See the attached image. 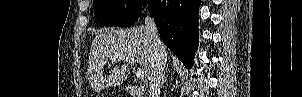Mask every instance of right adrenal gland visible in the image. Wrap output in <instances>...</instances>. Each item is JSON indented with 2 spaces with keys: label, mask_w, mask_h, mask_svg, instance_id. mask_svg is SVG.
<instances>
[{
  "label": "right adrenal gland",
  "mask_w": 302,
  "mask_h": 97,
  "mask_svg": "<svg viewBox=\"0 0 302 97\" xmlns=\"http://www.w3.org/2000/svg\"><path fill=\"white\" fill-rule=\"evenodd\" d=\"M166 70H167V69H165V72H164V75H163V78H162V82H161L162 85H163V84L165 83V81H166Z\"/></svg>",
  "instance_id": "1"
}]
</instances>
